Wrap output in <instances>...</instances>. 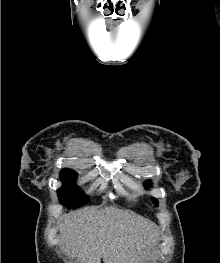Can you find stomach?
<instances>
[{
	"instance_id": "obj_1",
	"label": "stomach",
	"mask_w": 220,
	"mask_h": 263,
	"mask_svg": "<svg viewBox=\"0 0 220 263\" xmlns=\"http://www.w3.org/2000/svg\"><path fill=\"white\" fill-rule=\"evenodd\" d=\"M158 243H159V238H158L157 236H155V237L153 238V244L156 245V244H158ZM141 263H145V262L142 261Z\"/></svg>"
}]
</instances>
